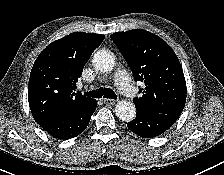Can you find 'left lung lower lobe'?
Masks as SVG:
<instances>
[{
  "label": "left lung lower lobe",
  "mask_w": 224,
  "mask_h": 175,
  "mask_svg": "<svg viewBox=\"0 0 224 175\" xmlns=\"http://www.w3.org/2000/svg\"><path fill=\"white\" fill-rule=\"evenodd\" d=\"M176 120V117L167 114L137 110L136 118L127 123V127L140 137L153 138L168 130Z\"/></svg>",
  "instance_id": "obj_1"
}]
</instances>
